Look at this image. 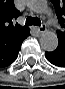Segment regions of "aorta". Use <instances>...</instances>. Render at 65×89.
I'll list each match as a JSON object with an SVG mask.
<instances>
[{
	"mask_svg": "<svg viewBox=\"0 0 65 89\" xmlns=\"http://www.w3.org/2000/svg\"><path fill=\"white\" fill-rule=\"evenodd\" d=\"M29 8L38 14H44L48 11V4L45 0H34L29 3ZM40 45L43 50L52 52L58 46V37L54 31H45L40 37Z\"/></svg>",
	"mask_w": 65,
	"mask_h": 89,
	"instance_id": "762f6f07",
	"label": "aorta"
}]
</instances>
